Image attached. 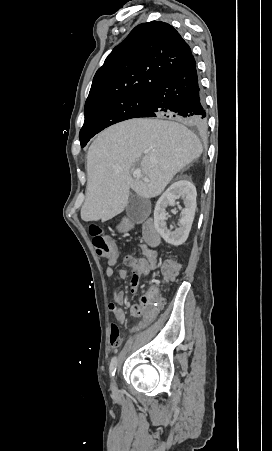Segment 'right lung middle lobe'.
<instances>
[{"label": "right lung middle lobe", "instance_id": "obj_1", "mask_svg": "<svg viewBox=\"0 0 272 451\" xmlns=\"http://www.w3.org/2000/svg\"><path fill=\"white\" fill-rule=\"evenodd\" d=\"M149 101V95H132L110 99L87 110L79 138L82 147L97 133L115 123L136 118Z\"/></svg>", "mask_w": 272, "mask_h": 451}]
</instances>
